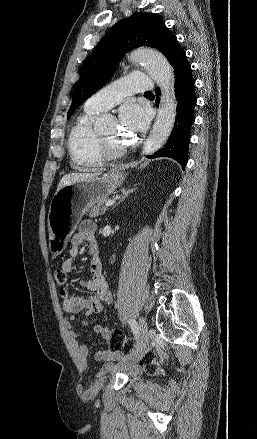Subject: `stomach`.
Returning <instances> with one entry per match:
<instances>
[{
    "mask_svg": "<svg viewBox=\"0 0 257 439\" xmlns=\"http://www.w3.org/2000/svg\"><path fill=\"white\" fill-rule=\"evenodd\" d=\"M124 179L120 170L113 169L102 177L65 185L55 193L48 214L49 250L53 255L65 250L84 209L96 199L107 197Z\"/></svg>",
    "mask_w": 257,
    "mask_h": 439,
    "instance_id": "obj_1",
    "label": "stomach"
}]
</instances>
